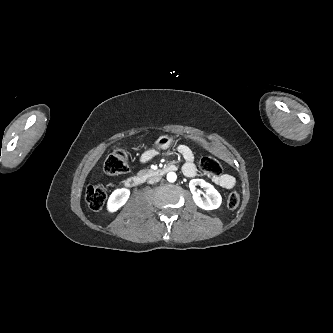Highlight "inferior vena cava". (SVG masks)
I'll return each mask as SVG.
<instances>
[{
  "label": "inferior vena cava",
  "mask_w": 333,
  "mask_h": 333,
  "mask_svg": "<svg viewBox=\"0 0 333 333\" xmlns=\"http://www.w3.org/2000/svg\"><path fill=\"white\" fill-rule=\"evenodd\" d=\"M160 180H161V177H160V176H155V177L150 178V179L148 180V183H149V184H153V183H156V182H158V181H160Z\"/></svg>",
  "instance_id": "obj_1"
}]
</instances>
